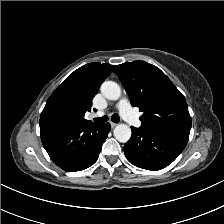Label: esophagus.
Masks as SVG:
<instances>
[{
    "instance_id": "1",
    "label": "esophagus",
    "mask_w": 224,
    "mask_h": 224,
    "mask_svg": "<svg viewBox=\"0 0 224 224\" xmlns=\"http://www.w3.org/2000/svg\"><path fill=\"white\" fill-rule=\"evenodd\" d=\"M110 125L112 128L116 127L117 126V123H114V122H110Z\"/></svg>"
}]
</instances>
